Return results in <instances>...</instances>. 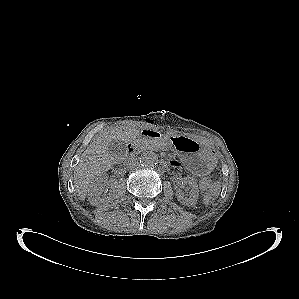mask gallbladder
<instances>
[{
  "mask_svg": "<svg viewBox=\"0 0 299 299\" xmlns=\"http://www.w3.org/2000/svg\"><path fill=\"white\" fill-rule=\"evenodd\" d=\"M109 151L114 155L123 156L126 151V145L124 142L114 140L109 145Z\"/></svg>",
  "mask_w": 299,
  "mask_h": 299,
  "instance_id": "1",
  "label": "gallbladder"
}]
</instances>
